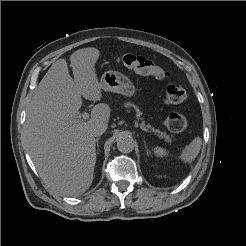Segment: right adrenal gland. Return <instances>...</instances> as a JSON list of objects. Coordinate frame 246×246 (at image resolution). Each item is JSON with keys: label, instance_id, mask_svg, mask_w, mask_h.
Wrapping results in <instances>:
<instances>
[{"label": "right adrenal gland", "instance_id": "obj_1", "mask_svg": "<svg viewBox=\"0 0 246 246\" xmlns=\"http://www.w3.org/2000/svg\"><path fill=\"white\" fill-rule=\"evenodd\" d=\"M99 139H100V137L96 138V143H97V148H98L97 153H99Z\"/></svg>", "mask_w": 246, "mask_h": 246}]
</instances>
